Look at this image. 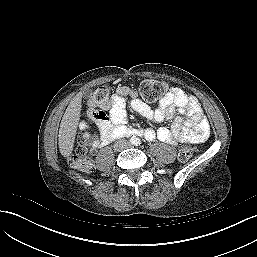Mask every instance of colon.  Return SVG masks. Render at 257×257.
<instances>
[{
  "label": "colon",
  "mask_w": 257,
  "mask_h": 257,
  "mask_svg": "<svg viewBox=\"0 0 257 257\" xmlns=\"http://www.w3.org/2000/svg\"><path fill=\"white\" fill-rule=\"evenodd\" d=\"M166 87L162 82L146 80L140 83L138 87L139 94L146 102H155L159 100L165 93ZM112 99V90L109 86L103 85L98 87L90 96L89 116L93 124H98L103 120L105 113L98 111V109H105L109 107ZM195 152V147L185 145L179 152V158L182 161L189 160ZM69 163L72 167L87 171L91 168V158L89 150L86 147L77 148L70 156Z\"/></svg>",
  "instance_id": "5ec220e1"
}]
</instances>
